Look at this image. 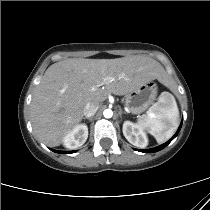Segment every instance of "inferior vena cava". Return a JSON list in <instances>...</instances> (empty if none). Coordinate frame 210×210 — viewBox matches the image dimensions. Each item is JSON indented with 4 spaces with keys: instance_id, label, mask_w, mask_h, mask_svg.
Masks as SVG:
<instances>
[{
    "instance_id": "obj_1",
    "label": "inferior vena cava",
    "mask_w": 210,
    "mask_h": 210,
    "mask_svg": "<svg viewBox=\"0 0 210 210\" xmlns=\"http://www.w3.org/2000/svg\"><path fill=\"white\" fill-rule=\"evenodd\" d=\"M98 108H99V105L97 103L88 102L85 105V108H84V115H85V117H91V116L95 115V113L97 112Z\"/></svg>"
}]
</instances>
